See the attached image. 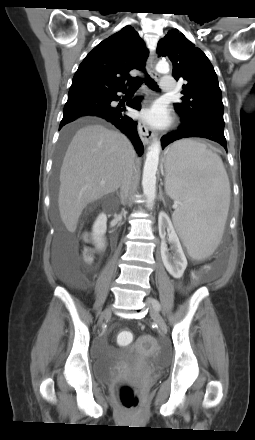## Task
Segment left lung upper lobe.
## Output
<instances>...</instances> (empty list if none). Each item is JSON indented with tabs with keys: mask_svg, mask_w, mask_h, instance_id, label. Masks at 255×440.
I'll return each instance as SVG.
<instances>
[{
	"mask_svg": "<svg viewBox=\"0 0 255 440\" xmlns=\"http://www.w3.org/2000/svg\"><path fill=\"white\" fill-rule=\"evenodd\" d=\"M159 56H168L173 64V77L187 81L184 95L175 109L182 119L197 122L213 120L224 124L222 94L217 75L207 56L177 29L170 30L158 42Z\"/></svg>",
	"mask_w": 255,
	"mask_h": 440,
	"instance_id": "1",
	"label": "left lung upper lobe"
}]
</instances>
